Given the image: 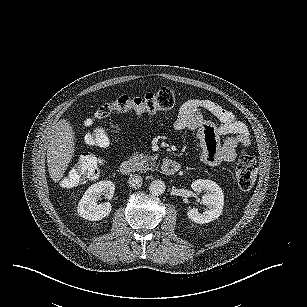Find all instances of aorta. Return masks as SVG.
I'll return each instance as SVG.
<instances>
[{
	"mask_svg": "<svg viewBox=\"0 0 307 307\" xmlns=\"http://www.w3.org/2000/svg\"><path fill=\"white\" fill-rule=\"evenodd\" d=\"M149 190L153 196L162 195L166 190V183L162 179H155L150 183Z\"/></svg>",
	"mask_w": 307,
	"mask_h": 307,
	"instance_id": "1",
	"label": "aorta"
}]
</instances>
